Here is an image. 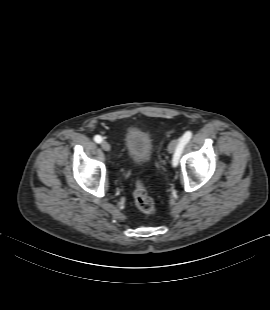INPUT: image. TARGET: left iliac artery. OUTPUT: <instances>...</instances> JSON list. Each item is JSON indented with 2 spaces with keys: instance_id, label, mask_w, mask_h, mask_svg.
<instances>
[{
  "instance_id": "obj_1",
  "label": "left iliac artery",
  "mask_w": 270,
  "mask_h": 310,
  "mask_svg": "<svg viewBox=\"0 0 270 310\" xmlns=\"http://www.w3.org/2000/svg\"><path fill=\"white\" fill-rule=\"evenodd\" d=\"M192 137V132L191 131H187L182 138L180 139V143L175 151V154L173 156V160H172V165L175 167L178 165L181 153L183 151L184 146L188 143V141L191 139Z\"/></svg>"
}]
</instances>
